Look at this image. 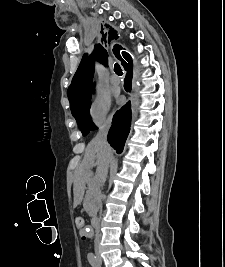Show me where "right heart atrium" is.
I'll use <instances>...</instances> for the list:
<instances>
[{
    "mask_svg": "<svg viewBox=\"0 0 225 267\" xmlns=\"http://www.w3.org/2000/svg\"><path fill=\"white\" fill-rule=\"evenodd\" d=\"M111 102L107 96H98L91 104L90 117L96 126H102L111 119Z\"/></svg>",
    "mask_w": 225,
    "mask_h": 267,
    "instance_id": "d8ad5b80",
    "label": "right heart atrium"
}]
</instances>
